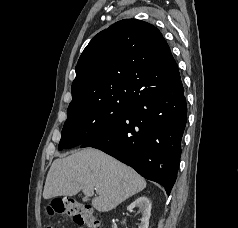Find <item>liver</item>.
I'll return each mask as SVG.
<instances>
[{"mask_svg": "<svg viewBox=\"0 0 238 228\" xmlns=\"http://www.w3.org/2000/svg\"><path fill=\"white\" fill-rule=\"evenodd\" d=\"M146 187V181L132 168L94 148L56 159L47 174L43 197L74 196L81 190L95 196L92 206L100 212L116 208Z\"/></svg>", "mask_w": 238, "mask_h": 228, "instance_id": "1", "label": "liver"}]
</instances>
